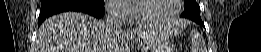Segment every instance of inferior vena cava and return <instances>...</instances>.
I'll return each mask as SVG.
<instances>
[{"mask_svg": "<svg viewBox=\"0 0 261 52\" xmlns=\"http://www.w3.org/2000/svg\"><path fill=\"white\" fill-rule=\"evenodd\" d=\"M106 16L104 26L106 31L116 33L124 23V12L120 2L113 1L105 5Z\"/></svg>", "mask_w": 261, "mask_h": 52, "instance_id": "inferior-vena-cava-1", "label": "inferior vena cava"}]
</instances>
